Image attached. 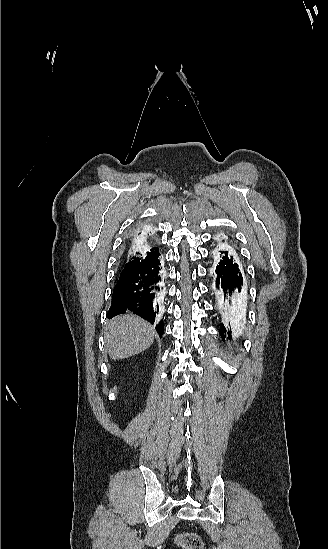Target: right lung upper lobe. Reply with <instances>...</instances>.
Here are the masks:
<instances>
[{
  "mask_svg": "<svg viewBox=\"0 0 328 549\" xmlns=\"http://www.w3.org/2000/svg\"><path fill=\"white\" fill-rule=\"evenodd\" d=\"M131 235V241L126 245L120 262L121 277L135 271L139 265L159 254L155 230L152 227L138 226Z\"/></svg>",
  "mask_w": 328,
  "mask_h": 549,
  "instance_id": "obj_1",
  "label": "right lung upper lobe"
}]
</instances>
